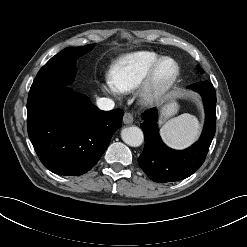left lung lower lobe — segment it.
Instances as JSON below:
<instances>
[{"instance_id": "obj_1", "label": "left lung lower lobe", "mask_w": 247, "mask_h": 247, "mask_svg": "<svg viewBox=\"0 0 247 247\" xmlns=\"http://www.w3.org/2000/svg\"><path fill=\"white\" fill-rule=\"evenodd\" d=\"M198 91L204 101L206 120L198 142L190 148L177 151L164 145L157 127V111L151 108L141 115L140 124L144 131L145 147L138 158L139 166L153 181L159 183L185 179L203 164L216 130V93L209 81L189 86Z\"/></svg>"}]
</instances>
